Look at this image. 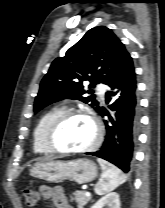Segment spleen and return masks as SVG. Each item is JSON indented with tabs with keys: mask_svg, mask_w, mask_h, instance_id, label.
Wrapping results in <instances>:
<instances>
[{
	"mask_svg": "<svg viewBox=\"0 0 165 208\" xmlns=\"http://www.w3.org/2000/svg\"><path fill=\"white\" fill-rule=\"evenodd\" d=\"M97 161L103 170L101 178L95 186V193L97 195H104L113 191L126 181L125 175L116 166L103 159H97Z\"/></svg>",
	"mask_w": 165,
	"mask_h": 208,
	"instance_id": "obj_1",
	"label": "spleen"
}]
</instances>
